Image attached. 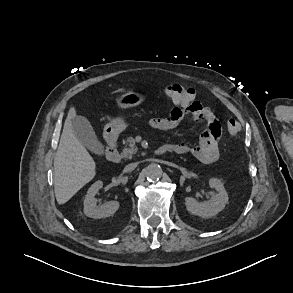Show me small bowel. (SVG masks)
Masks as SVG:
<instances>
[{
    "label": "small bowel",
    "instance_id": "obj_1",
    "mask_svg": "<svg viewBox=\"0 0 293 293\" xmlns=\"http://www.w3.org/2000/svg\"><path fill=\"white\" fill-rule=\"evenodd\" d=\"M186 114L190 115L194 122L204 124L206 128L196 145L191 146L184 142L172 144L173 152L177 154L190 153L206 164L215 162L220 155L221 126L214 112L210 108L202 107L198 101L190 109L178 106L173 108L166 117L151 118L149 124L158 130H170L179 126L184 121Z\"/></svg>",
    "mask_w": 293,
    "mask_h": 293
}]
</instances>
